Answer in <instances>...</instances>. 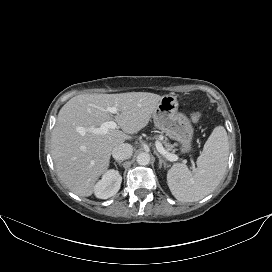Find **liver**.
Returning a JSON list of instances; mask_svg holds the SVG:
<instances>
[{"instance_id": "1", "label": "liver", "mask_w": 272, "mask_h": 272, "mask_svg": "<svg viewBox=\"0 0 272 272\" xmlns=\"http://www.w3.org/2000/svg\"><path fill=\"white\" fill-rule=\"evenodd\" d=\"M161 98L148 92L71 98L59 111L51 136V155L62 182L78 196L92 195L109 168L112 150L147 126ZM108 107H116L118 113L112 116ZM112 119L122 131L93 132Z\"/></svg>"}]
</instances>
